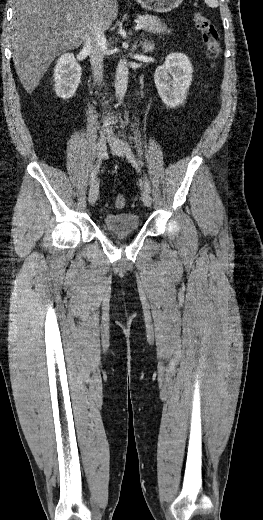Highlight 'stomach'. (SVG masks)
<instances>
[{"label":"stomach","mask_w":263,"mask_h":520,"mask_svg":"<svg viewBox=\"0 0 263 520\" xmlns=\"http://www.w3.org/2000/svg\"><path fill=\"white\" fill-rule=\"evenodd\" d=\"M183 0H136L143 8L157 13H166L176 9Z\"/></svg>","instance_id":"obj_1"}]
</instances>
